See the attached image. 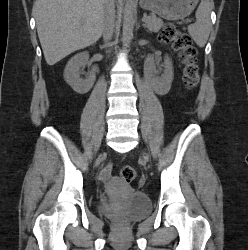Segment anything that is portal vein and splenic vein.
I'll list each match as a JSON object with an SVG mask.
<instances>
[{
    "instance_id": "1",
    "label": "portal vein and splenic vein",
    "mask_w": 248,
    "mask_h": 250,
    "mask_svg": "<svg viewBox=\"0 0 248 250\" xmlns=\"http://www.w3.org/2000/svg\"><path fill=\"white\" fill-rule=\"evenodd\" d=\"M142 21L143 22L147 21V18L144 16V18H142Z\"/></svg>"
}]
</instances>
